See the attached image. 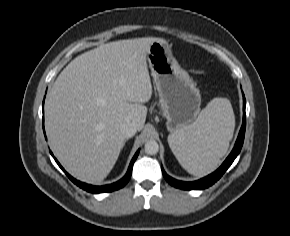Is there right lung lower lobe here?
I'll list each match as a JSON object with an SVG mask.
<instances>
[{
    "label": "right lung lower lobe",
    "mask_w": 290,
    "mask_h": 236,
    "mask_svg": "<svg viewBox=\"0 0 290 236\" xmlns=\"http://www.w3.org/2000/svg\"><path fill=\"white\" fill-rule=\"evenodd\" d=\"M45 133V131H44ZM139 154V150L136 152V154L134 155L133 159L131 160V163L129 165V168H128V171L126 173V175L121 179L119 180L118 182H115L113 184H109V185H105V186H92V185H89V184H85L83 182H80L76 179H74L72 176H70L63 168L62 166L59 164V162L55 159V161L57 162V164L60 166V168L65 172V174L68 176V178L73 182L75 183L77 186H79L80 188L88 191V192H91V193H102V192H111V191H114V190H117V189H120L122 188L124 185L127 184V182L129 181L130 177H131V174H132V167H133V164L137 158ZM51 155H53L51 153Z\"/></svg>",
    "instance_id": "obj_1"
}]
</instances>
